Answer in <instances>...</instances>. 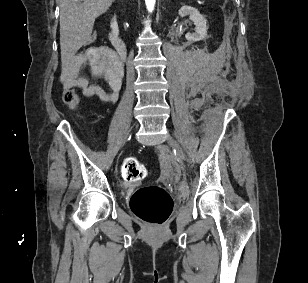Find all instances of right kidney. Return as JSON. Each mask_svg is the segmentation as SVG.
Instances as JSON below:
<instances>
[{
    "label": "right kidney",
    "mask_w": 308,
    "mask_h": 283,
    "mask_svg": "<svg viewBox=\"0 0 308 283\" xmlns=\"http://www.w3.org/2000/svg\"><path fill=\"white\" fill-rule=\"evenodd\" d=\"M110 27L112 29V33L114 35H118L119 34V29H118V24H117V21H116V16H114L111 20V23H110Z\"/></svg>",
    "instance_id": "1"
}]
</instances>
